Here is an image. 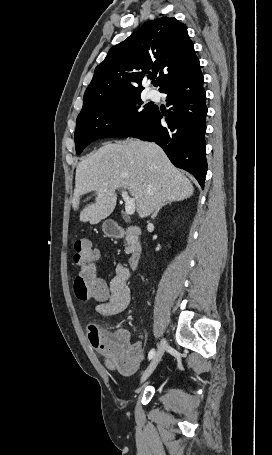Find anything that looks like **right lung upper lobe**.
Returning <instances> with one entry per match:
<instances>
[{
  "label": "right lung upper lobe",
  "mask_w": 272,
  "mask_h": 455,
  "mask_svg": "<svg viewBox=\"0 0 272 455\" xmlns=\"http://www.w3.org/2000/svg\"><path fill=\"white\" fill-rule=\"evenodd\" d=\"M198 71L200 63L186 26L173 17L148 21L112 47L96 67L80 113L141 94L142 83L157 74L161 92Z\"/></svg>",
  "instance_id": "obj_1"
}]
</instances>
